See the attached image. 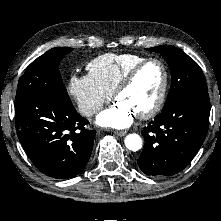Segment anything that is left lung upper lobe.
<instances>
[{"instance_id":"5c2ea615","label":"left lung upper lobe","mask_w":221,"mask_h":221,"mask_svg":"<svg viewBox=\"0 0 221 221\" xmlns=\"http://www.w3.org/2000/svg\"><path fill=\"white\" fill-rule=\"evenodd\" d=\"M147 50L162 54L170 67L172 84L163 110L192 93L208 91L201 68L184 52L169 45Z\"/></svg>"}]
</instances>
